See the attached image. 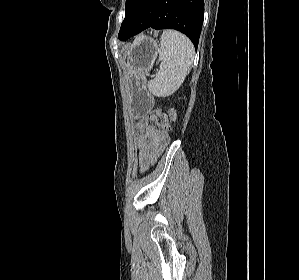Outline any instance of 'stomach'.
<instances>
[{
    "label": "stomach",
    "mask_w": 299,
    "mask_h": 280,
    "mask_svg": "<svg viewBox=\"0 0 299 280\" xmlns=\"http://www.w3.org/2000/svg\"><path fill=\"white\" fill-rule=\"evenodd\" d=\"M158 52L157 41L141 36L124 54L129 78L128 98L134 115L144 114L150 106L151 97L145 88L143 75L153 67Z\"/></svg>",
    "instance_id": "stomach-1"
}]
</instances>
